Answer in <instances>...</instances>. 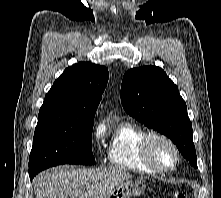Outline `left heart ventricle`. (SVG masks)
<instances>
[{
	"label": "left heart ventricle",
	"instance_id": "b2bd125f",
	"mask_svg": "<svg viewBox=\"0 0 221 198\" xmlns=\"http://www.w3.org/2000/svg\"><path fill=\"white\" fill-rule=\"evenodd\" d=\"M154 159L163 166H171L174 163L175 155L171 147L161 140H155L152 144Z\"/></svg>",
	"mask_w": 221,
	"mask_h": 198
}]
</instances>
